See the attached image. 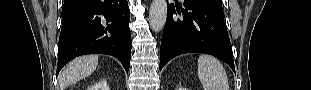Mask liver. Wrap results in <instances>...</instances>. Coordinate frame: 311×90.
<instances>
[{
	"instance_id": "obj_1",
	"label": "liver",
	"mask_w": 311,
	"mask_h": 90,
	"mask_svg": "<svg viewBox=\"0 0 311 90\" xmlns=\"http://www.w3.org/2000/svg\"><path fill=\"white\" fill-rule=\"evenodd\" d=\"M98 56L86 55L72 60L63 70L59 84L61 90L91 75L97 68Z\"/></svg>"
}]
</instances>
